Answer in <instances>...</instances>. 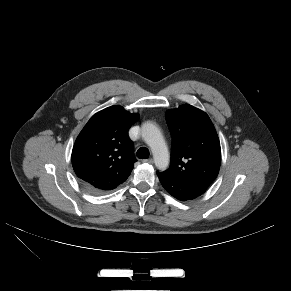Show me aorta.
<instances>
[{"label":"aorta","instance_id":"762f6f07","mask_svg":"<svg viewBox=\"0 0 291 291\" xmlns=\"http://www.w3.org/2000/svg\"><path fill=\"white\" fill-rule=\"evenodd\" d=\"M141 132L143 140L151 148L156 167L159 170L167 169L169 152L159 128L151 122H145L142 125Z\"/></svg>","mask_w":291,"mask_h":291}]
</instances>
